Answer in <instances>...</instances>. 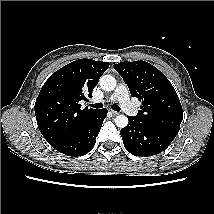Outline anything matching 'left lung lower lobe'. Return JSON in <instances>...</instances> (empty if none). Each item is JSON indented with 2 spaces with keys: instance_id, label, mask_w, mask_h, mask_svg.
Listing matches in <instances>:
<instances>
[{
  "instance_id": "obj_1",
  "label": "left lung lower lobe",
  "mask_w": 214,
  "mask_h": 214,
  "mask_svg": "<svg viewBox=\"0 0 214 214\" xmlns=\"http://www.w3.org/2000/svg\"><path fill=\"white\" fill-rule=\"evenodd\" d=\"M128 125L120 131L125 148L135 156H153L164 151L178 134L167 129L128 117Z\"/></svg>"
}]
</instances>
